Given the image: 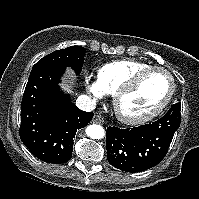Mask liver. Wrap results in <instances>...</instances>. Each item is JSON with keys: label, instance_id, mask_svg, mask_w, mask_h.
<instances>
[{"label": "liver", "instance_id": "1", "mask_svg": "<svg viewBox=\"0 0 199 199\" xmlns=\"http://www.w3.org/2000/svg\"><path fill=\"white\" fill-rule=\"evenodd\" d=\"M73 77H74V72L70 68H68L67 74L64 76L62 84H61V87L67 92H70V86L68 83Z\"/></svg>", "mask_w": 199, "mask_h": 199}]
</instances>
